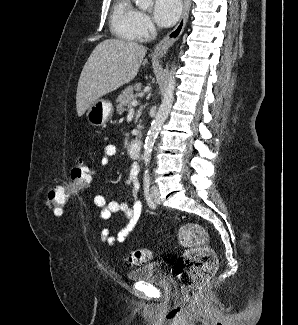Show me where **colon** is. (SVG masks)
Returning a JSON list of instances; mask_svg holds the SVG:
<instances>
[{
    "instance_id": "1",
    "label": "colon",
    "mask_w": 298,
    "mask_h": 325,
    "mask_svg": "<svg viewBox=\"0 0 298 325\" xmlns=\"http://www.w3.org/2000/svg\"><path fill=\"white\" fill-rule=\"evenodd\" d=\"M92 168L88 160L80 158L71 170L70 184L56 187L46 195V204L60 213L74 191L85 188L91 181ZM180 244L185 251L177 266V279L183 296L194 299L207 285L216 272L217 260L209 246L207 232L198 224H185L178 233ZM152 252L142 248L129 256L131 265L145 264L152 259Z\"/></svg>"
}]
</instances>
